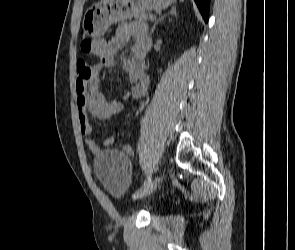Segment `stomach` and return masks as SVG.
Masks as SVG:
<instances>
[{"label": "stomach", "instance_id": "obj_1", "mask_svg": "<svg viewBox=\"0 0 295 250\" xmlns=\"http://www.w3.org/2000/svg\"><path fill=\"white\" fill-rule=\"evenodd\" d=\"M174 2L175 0H101L87 9L82 27L88 36L100 37L117 21L150 10L166 9Z\"/></svg>", "mask_w": 295, "mask_h": 250}]
</instances>
